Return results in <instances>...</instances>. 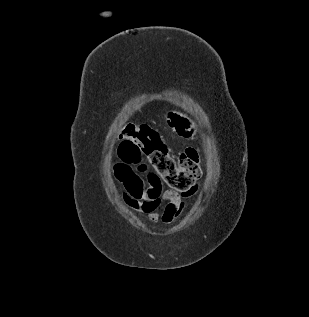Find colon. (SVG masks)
Segmentation results:
<instances>
[{
  "instance_id": "colon-1",
  "label": "colon",
  "mask_w": 309,
  "mask_h": 317,
  "mask_svg": "<svg viewBox=\"0 0 309 317\" xmlns=\"http://www.w3.org/2000/svg\"><path fill=\"white\" fill-rule=\"evenodd\" d=\"M169 121L180 135L190 134V122L179 113L171 112ZM120 136L123 139L119 146L123 157L133 163L147 157L160 179L171 189L179 193H187L194 188L200 179V152L189 147L182 151L177 159L169 154L167 145L160 134L146 124H126L122 127ZM127 150L126 153L123 151Z\"/></svg>"
}]
</instances>
